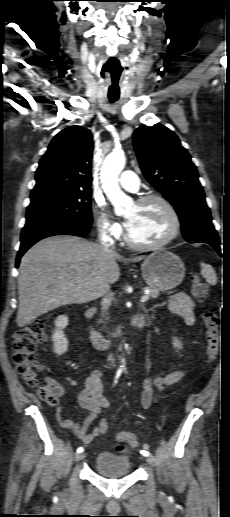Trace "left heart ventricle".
Masks as SVG:
<instances>
[{"mask_svg":"<svg viewBox=\"0 0 230 517\" xmlns=\"http://www.w3.org/2000/svg\"><path fill=\"white\" fill-rule=\"evenodd\" d=\"M125 216L129 220L128 231L140 243H153L164 238L171 227V220L163 205L157 201L142 206L133 205Z\"/></svg>","mask_w":230,"mask_h":517,"instance_id":"obj_1","label":"left heart ventricle"}]
</instances>
